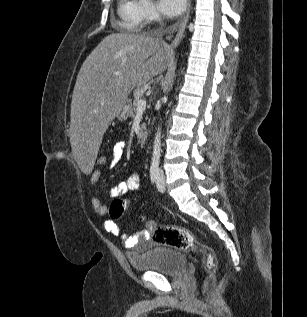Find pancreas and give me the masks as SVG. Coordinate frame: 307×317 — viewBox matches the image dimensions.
I'll return each mask as SVG.
<instances>
[{"instance_id": "cf45deb5", "label": "pancreas", "mask_w": 307, "mask_h": 317, "mask_svg": "<svg viewBox=\"0 0 307 317\" xmlns=\"http://www.w3.org/2000/svg\"><path fill=\"white\" fill-rule=\"evenodd\" d=\"M142 94H143V90L141 88L135 90L134 100H133V103L130 105V109H129V117L135 116V112L137 111V104L141 100ZM145 128H146V124L143 123L139 129V131H140L139 132V139H141V140L145 139V134H144Z\"/></svg>"}]
</instances>
